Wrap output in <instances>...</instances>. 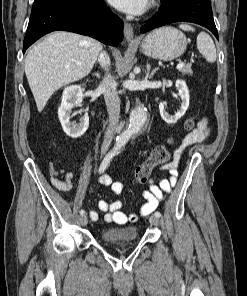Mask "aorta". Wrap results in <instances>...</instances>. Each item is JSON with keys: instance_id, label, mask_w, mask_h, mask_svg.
<instances>
[{"instance_id": "obj_1", "label": "aorta", "mask_w": 247, "mask_h": 296, "mask_svg": "<svg viewBox=\"0 0 247 296\" xmlns=\"http://www.w3.org/2000/svg\"><path fill=\"white\" fill-rule=\"evenodd\" d=\"M146 120L147 110L143 104H138L130 114L129 123L126 129L118 136L115 145L116 148L121 149L133 135L138 134Z\"/></svg>"}]
</instances>
